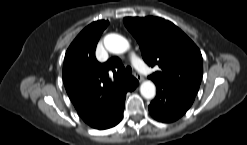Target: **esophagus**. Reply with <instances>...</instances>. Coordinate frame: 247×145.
<instances>
[{
  "instance_id": "obj_1",
  "label": "esophagus",
  "mask_w": 247,
  "mask_h": 145,
  "mask_svg": "<svg viewBox=\"0 0 247 145\" xmlns=\"http://www.w3.org/2000/svg\"><path fill=\"white\" fill-rule=\"evenodd\" d=\"M134 76L136 77V79H137L139 82H142V81H143V77L141 76V74L135 73Z\"/></svg>"
}]
</instances>
